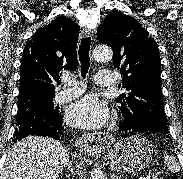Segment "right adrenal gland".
Masks as SVG:
<instances>
[{"label":"right adrenal gland","instance_id":"obj_1","mask_svg":"<svg viewBox=\"0 0 183 179\" xmlns=\"http://www.w3.org/2000/svg\"><path fill=\"white\" fill-rule=\"evenodd\" d=\"M67 173H68L67 177H69L71 175L74 178L75 173H74V167L72 165V162H69V164L67 166Z\"/></svg>","mask_w":183,"mask_h":179}]
</instances>
